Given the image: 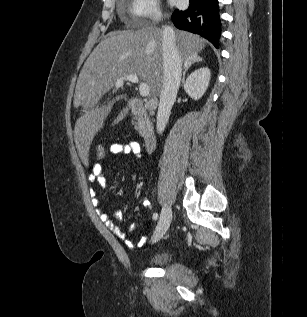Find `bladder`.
<instances>
[{"instance_id": "bladder-1", "label": "bladder", "mask_w": 307, "mask_h": 317, "mask_svg": "<svg viewBox=\"0 0 307 317\" xmlns=\"http://www.w3.org/2000/svg\"><path fill=\"white\" fill-rule=\"evenodd\" d=\"M173 257L171 252H160L149 258L148 262L153 266H163L168 264Z\"/></svg>"}]
</instances>
